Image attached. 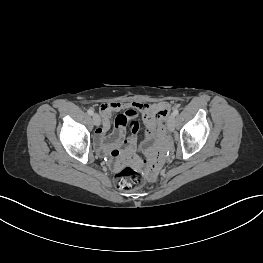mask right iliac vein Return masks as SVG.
Segmentation results:
<instances>
[{
    "instance_id": "1",
    "label": "right iliac vein",
    "mask_w": 263,
    "mask_h": 263,
    "mask_svg": "<svg viewBox=\"0 0 263 263\" xmlns=\"http://www.w3.org/2000/svg\"><path fill=\"white\" fill-rule=\"evenodd\" d=\"M93 122H94L95 126L100 125L101 119L97 113L93 114Z\"/></svg>"
}]
</instances>
